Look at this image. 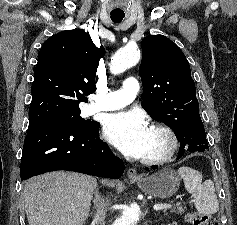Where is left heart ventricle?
Wrapping results in <instances>:
<instances>
[{
	"mask_svg": "<svg viewBox=\"0 0 237 225\" xmlns=\"http://www.w3.org/2000/svg\"><path fill=\"white\" fill-rule=\"evenodd\" d=\"M165 145V140L159 134L149 129L144 157L162 152Z\"/></svg>",
	"mask_w": 237,
	"mask_h": 225,
	"instance_id": "1",
	"label": "left heart ventricle"
}]
</instances>
